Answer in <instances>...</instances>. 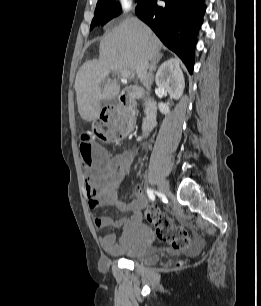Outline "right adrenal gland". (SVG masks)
Here are the masks:
<instances>
[{"mask_svg":"<svg viewBox=\"0 0 261 306\" xmlns=\"http://www.w3.org/2000/svg\"><path fill=\"white\" fill-rule=\"evenodd\" d=\"M160 59H156L154 61H152V63L150 64V70H149V74L151 76L152 79H154V71L157 69V65Z\"/></svg>","mask_w":261,"mask_h":306,"instance_id":"2a0ac1e0","label":"right adrenal gland"}]
</instances>
